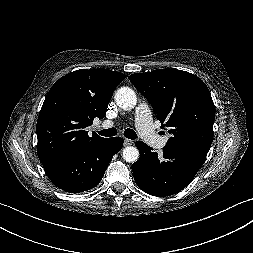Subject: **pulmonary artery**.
Instances as JSON below:
<instances>
[{
    "instance_id": "1",
    "label": "pulmonary artery",
    "mask_w": 253,
    "mask_h": 253,
    "mask_svg": "<svg viewBox=\"0 0 253 253\" xmlns=\"http://www.w3.org/2000/svg\"><path fill=\"white\" fill-rule=\"evenodd\" d=\"M136 126L141 137L151 146L162 149L168 142V136H159L154 129L152 115L149 107L146 104H141L135 112ZM112 121L103 122L102 126L109 128L113 126Z\"/></svg>"
}]
</instances>
